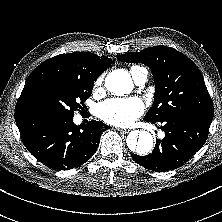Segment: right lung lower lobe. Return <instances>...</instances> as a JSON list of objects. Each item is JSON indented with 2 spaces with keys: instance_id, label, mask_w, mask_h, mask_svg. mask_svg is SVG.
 I'll return each mask as SVG.
<instances>
[{
  "instance_id": "right-lung-lower-lobe-1",
  "label": "right lung lower lobe",
  "mask_w": 222,
  "mask_h": 222,
  "mask_svg": "<svg viewBox=\"0 0 222 222\" xmlns=\"http://www.w3.org/2000/svg\"><path fill=\"white\" fill-rule=\"evenodd\" d=\"M21 139L28 151L52 169L70 170L88 161L109 126L92 120L75 125L73 118L41 109L15 112Z\"/></svg>"
}]
</instances>
